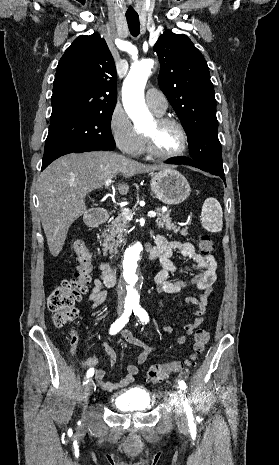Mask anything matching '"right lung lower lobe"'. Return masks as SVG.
<instances>
[{
	"mask_svg": "<svg viewBox=\"0 0 279 465\" xmlns=\"http://www.w3.org/2000/svg\"><path fill=\"white\" fill-rule=\"evenodd\" d=\"M114 146H88L79 151L80 152H85V151H97V150H113ZM48 165H43L42 164V170L46 168Z\"/></svg>",
	"mask_w": 279,
	"mask_h": 465,
	"instance_id": "98d812e1",
	"label": "right lung lower lobe"
}]
</instances>
